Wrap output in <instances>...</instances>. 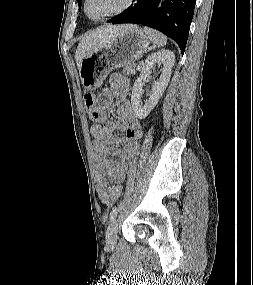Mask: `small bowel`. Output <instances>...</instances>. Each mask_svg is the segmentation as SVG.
Returning <instances> with one entry per match:
<instances>
[{
  "instance_id": "c3829d8e",
  "label": "small bowel",
  "mask_w": 253,
  "mask_h": 285,
  "mask_svg": "<svg viewBox=\"0 0 253 285\" xmlns=\"http://www.w3.org/2000/svg\"><path fill=\"white\" fill-rule=\"evenodd\" d=\"M129 89L130 83L126 78L113 75L108 87L98 96L94 108L89 111L94 120L90 132L95 138L97 156L96 190L99 199L107 205L114 204L121 196L115 192L114 186L125 179L130 161L136 157L140 148L142 127L128 99ZM115 96L121 99L117 107L121 120L119 123L107 119V110L112 106ZM116 130L124 132V137H116ZM109 183L114 185L110 186Z\"/></svg>"
}]
</instances>
